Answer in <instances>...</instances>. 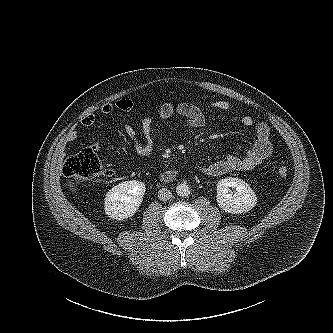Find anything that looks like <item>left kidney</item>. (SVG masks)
Returning <instances> with one entry per match:
<instances>
[{
	"instance_id": "5707ae66",
	"label": "left kidney",
	"mask_w": 333,
	"mask_h": 333,
	"mask_svg": "<svg viewBox=\"0 0 333 333\" xmlns=\"http://www.w3.org/2000/svg\"><path fill=\"white\" fill-rule=\"evenodd\" d=\"M216 197L219 207L232 214L248 212L257 204L256 194L249 184L233 177L217 183Z\"/></svg>"
}]
</instances>
